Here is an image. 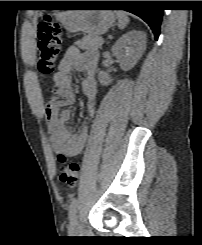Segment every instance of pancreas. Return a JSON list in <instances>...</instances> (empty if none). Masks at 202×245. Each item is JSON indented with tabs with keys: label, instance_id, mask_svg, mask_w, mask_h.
I'll use <instances>...</instances> for the list:
<instances>
[{
	"label": "pancreas",
	"instance_id": "obj_1",
	"mask_svg": "<svg viewBox=\"0 0 202 245\" xmlns=\"http://www.w3.org/2000/svg\"><path fill=\"white\" fill-rule=\"evenodd\" d=\"M101 37L88 35L76 42V45L83 50L98 49L102 46Z\"/></svg>",
	"mask_w": 202,
	"mask_h": 245
}]
</instances>
